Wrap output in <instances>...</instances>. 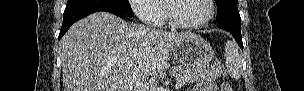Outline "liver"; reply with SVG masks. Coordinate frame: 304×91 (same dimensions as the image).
<instances>
[{"label":"liver","instance_id":"1","mask_svg":"<svg viewBox=\"0 0 304 91\" xmlns=\"http://www.w3.org/2000/svg\"><path fill=\"white\" fill-rule=\"evenodd\" d=\"M194 36L93 13L73 24L60 41L64 91H132L138 78L168 69L173 47Z\"/></svg>","mask_w":304,"mask_h":91}]
</instances>
